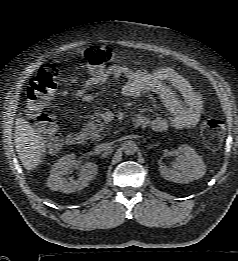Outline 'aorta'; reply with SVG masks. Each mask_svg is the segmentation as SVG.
Segmentation results:
<instances>
[{"instance_id":"obj_1","label":"aorta","mask_w":238,"mask_h":261,"mask_svg":"<svg viewBox=\"0 0 238 261\" xmlns=\"http://www.w3.org/2000/svg\"><path fill=\"white\" fill-rule=\"evenodd\" d=\"M122 149L126 155L130 156L137 152L138 147L134 141L128 140L123 144Z\"/></svg>"}]
</instances>
